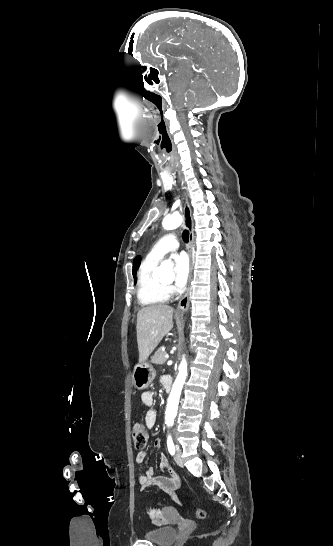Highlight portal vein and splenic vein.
<instances>
[{"label":"portal vein and splenic vein","mask_w":333,"mask_h":546,"mask_svg":"<svg viewBox=\"0 0 333 546\" xmlns=\"http://www.w3.org/2000/svg\"><path fill=\"white\" fill-rule=\"evenodd\" d=\"M165 358L168 359V358H169V355H168V354H165Z\"/></svg>","instance_id":"1"}]
</instances>
